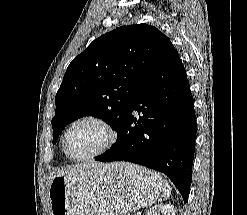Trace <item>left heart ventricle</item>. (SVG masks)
<instances>
[{"mask_svg": "<svg viewBox=\"0 0 247 215\" xmlns=\"http://www.w3.org/2000/svg\"><path fill=\"white\" fill-rule=\"evenodd\" d=\"M106 139V132L99 125L81 122L68 135V151L74 157H84L101 148Z\"/></svg>", "mask_w": 247, "mask_h": 215, "instance_id": "1", "label": "left heart ventricle"}]
</instances>
